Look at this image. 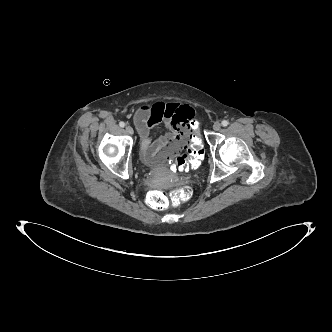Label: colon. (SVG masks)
<instances>
[{
  "label": "colon",
  "instance_id": "5ec220e1",
  "mask_svg": "<svg viewBox=\"0 0 332 332\" xmlns=\"http://www.w3.org/2000/svg\"><path fill=\"white\" fill-rule=\"evenodd\" d=\"M189 133L191 137L184 142H180L182 150L177 158L169 161V168L172 171L196 168L200 165L204 156V140L202 137V123L198 118H193L189 123ZM192 196V188L184 186L173 191L168 197L163 191H153L148 196L149 205L156 209L166 208L169 203L177 205L187 201Z\"/></svg>",
  "mask_w": 332,
  "mask_h": 332
}]
</instances>
